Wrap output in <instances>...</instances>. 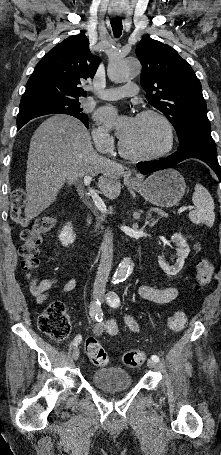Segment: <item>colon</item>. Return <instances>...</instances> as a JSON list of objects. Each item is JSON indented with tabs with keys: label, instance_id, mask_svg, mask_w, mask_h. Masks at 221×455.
Returning a JSON list of instances; mask_svg holds the SVG:
<instances>
[{
	"label": "colon",
	"instance_id": "obj_1",
	"mask_svg": "<svg viewBox=\"0 0 221 455\" xmlns=\"http://www.w3.org/2000/svg\"><path fill=\"white\" fill-rule=\"evenodd\" d=\"M11 209L10 217L16 223L24 226L21 232L22 245L20 255L21 265L26 271L29 279L36 274L38 267L39 245L45 234L50 232L56 223L52 215H45L37 218L32 225L27 226L22 210L26 202V193L23 188H15L10 196ZM213 267L208 260H201L197 265L196 288L206 286L212 278ZM168 328L173 332L181 331L185 326V315L178 311L169 316ZM39 329L49 338L57 341L66 339L71 330V323L66 306L61 302H53L47 306L38 318ZM85 351L90 361L96 366H104L108 362V355L100 342L89 337L85 342ZM145 355L140 351H129L123 354L122 362L126 367L134 368L140 366Z\"/></svg>",
	"mask_w": 221,
	"mask_h": 455
}]
</instances>
